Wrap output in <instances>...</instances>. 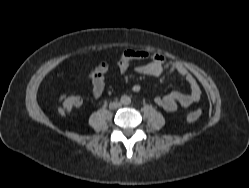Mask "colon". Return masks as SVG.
<instances>
[{
    "label": "colon",
    "mask_w": 249,
    "mask_h": 188,
    "mask_svg": "<svg viewBox=\"0 0 249 188\" xmlns=\"http://www.w3.org/2000/svg\"><path fill=\"white\" fill-rule=\"evenodd\" d=\"M81 96L71 93V94H62L59 100V112L61 114H66L74 109L78 108L82 104ZM201 116L200 110H193L189 112L186 116V121L188 123L196 122Z\"/></svg>",
    "instance_id": "colon-1"
}]
</instances>
